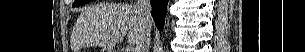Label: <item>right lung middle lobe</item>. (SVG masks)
Returning a JSON list of instances; mask_svg holds the SVG:
<instances>
[{
    "label": "right lung middle lobe",
    "mask_w": 305,
    "mask_h": 52,
    "mask_svg": "<svg viewBox=\"0 0 305 52\" xmlns=\"http://www.w3.org/2000/svg\"><path fill=\"white\" fill-rule=\"evenodd\" d=\"M91 0H76L74 3H73V7H78L80 5H83L85 3H88L90 2Z\"/></svg>",
    "instance_id": "1"
}]
</instances>
